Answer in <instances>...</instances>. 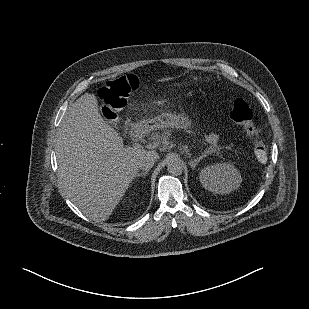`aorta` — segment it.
Wrapping results in <instances>:
<instances>
[{
  "label": "aorta",
  "instance_id": "1",
  "mask_svg": "<svg viewBox=\"0 0 309 309\" xmlns=\"http://www.w3.org/2000/svg\"><path fill=\"white\" fill-rule=\"evenodd\" d=\"M167 171L173 176H179L184 171V163L177 156H172L169 158L167 163Z\"/></svg>",
  "mask_w": 309,
  "mask_h": 309
}]
</instances>
